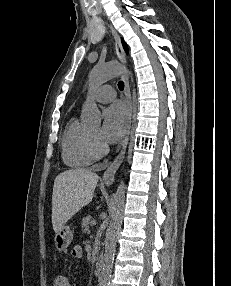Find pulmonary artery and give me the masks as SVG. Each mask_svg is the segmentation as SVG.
Returning <instances> with one entry per match:
<instances>
[{
	"label": "pulmonary artery",
	"mask_w": 231,
	"mask_h": 286,
	"mask_svg": "<svg viewBox=\"0 0 231 286\" xmlns=\"http://www.w3.org/2000/svg\"><path fill=\"white\" fill-rule=\"evenodd\" d=\"M115 97V89L110 85H103L94 92V99L100 103L111 102Z\"/></svg>",
	"instance_id": "obj_1"
}]
</instances>
